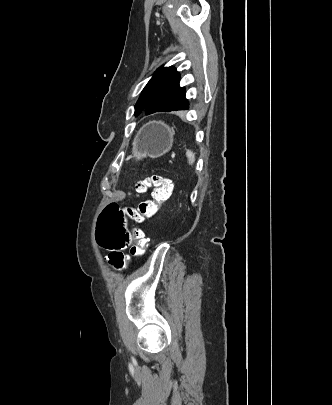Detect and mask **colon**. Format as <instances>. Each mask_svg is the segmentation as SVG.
Instances as JSON below:
<instances>
[{
    "instance_id": "5ec220e1",
    "label": "colon",
    "mask_w": 332,
    "mask_h": 405,
    "mask_svg": "<svg viewBox=\"0 0 332 405\" xmlns=\"http://www.w3.org/2000/svg\"><path fill=\"white\" fill-rule=\"evenodd\" d=\"M148 188H152V200L142 201L137 208L121 207L120 202H105V211H99L95 242L98 243V249L116 254L112 256L111 264L117 270L123 269L126 261L125 255L119 254L120 250L129 249L131 256H141L148 247L144 231L137 226L127 227V219L142 223L146 218L154 216L159 204L171 196L173 183L166 177L152 175L136 185L138 193H143Z\"/></svg>"
}]
</instances>
